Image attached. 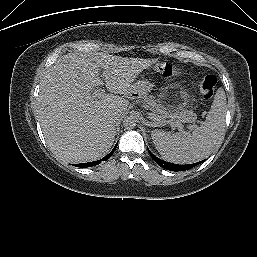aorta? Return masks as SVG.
<instances>
[{"mask_svg": "<svg viewBox=\"0 0 257 257\" xmlns=\"http://www.w3.org/2000/svg\"><path fill=\"white\" fill-rule=\"evenodd\" d=\"M136 124H137V119L132 115L125 117L123 120V125L127 129L134 128Z\"/></svg>", "mask_w": 257, "mask_h": 257, "instance_id": "762f6f07", "label": "aorta"}]
</instances>
